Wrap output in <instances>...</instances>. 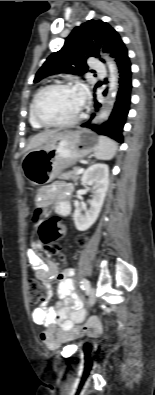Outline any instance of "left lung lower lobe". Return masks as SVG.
I'll return each instance as SVG.
<instances>
[{
    "mask_svg": "<svg viewBox=\"0 0 155 395\" xmlns=\"http://www.w3.org/2000/svg\"><path fill=\"white\" fill-rule=\"evenodd\" d=\"M119 70V91L117 94L114 109L107 122L101 125H91V121L86 122L83 126L96 130L98 134L106 135L112 139L123 142L122 131L128 112L130 110L131 103V90H132V72L131 62L127 56H125L118 64ZM95 110L97 111L101 104L95 100ZM94 114L92 115V118Z\"/></svg>",
    "mask_w": 155,
    "mask_h": 395,
    "instance_id": "0a47b994",
    "label": "left lung lower lobe"
}]
</instances>
